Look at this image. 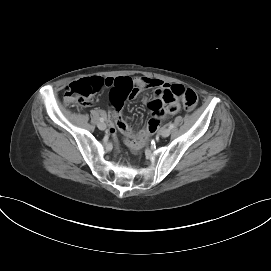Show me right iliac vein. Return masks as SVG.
Wrapping results in <instances>:
<instances>
[{
    "label": "right iliac vein",
    "mask_w": 271,
    "mask_h": 271,
    "mask_svg": "<svg viewBox=\"0 0 271 271\" xmlns=\"http://www.w3.org/2000/svg\"><path fill=\"white\" fill-rule=\"evenodd\" d=\"M98 128H99L100 130H105V129L107 128V125H106V123H104V122H100V123L98 124Z\"/></svg>",
    "instance_id": "1"
}]
</instances>
